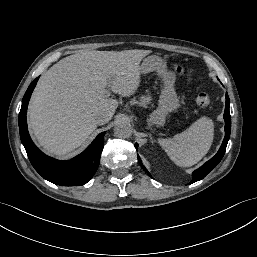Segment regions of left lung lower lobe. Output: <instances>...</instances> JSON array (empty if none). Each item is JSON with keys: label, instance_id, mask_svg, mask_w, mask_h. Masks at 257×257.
<instances>
[{"label": "left lung lower lobe", "instance_id": "1", "mask_svg": "<svg viewBox=\"0 0 257 257\" xmlns=\"http://www.w3.org/2000/svg\"><path fill=\"white\" fill-rule=\"evenodd\" d=\"M229 105H230V100H229L228 94L226 93V106H225V112H224L225 138L223 140V143L218 153L212 159L207 161L202 167H200L199 169L193 172V179L190 182V184L203 179L212 169L216 167V165L221 161L222 157L224 156L226 146L230 137V131H231V116L229 112ZM135 147L137 149L138 144H135ZM138 160L141 163V160L139 157H138ZM141 166L148 173V171L142 164ZM148 175L150 174L148 173Z\"/></svg>", "mask_w": 257, "mask_h": 257}]
</instances>
